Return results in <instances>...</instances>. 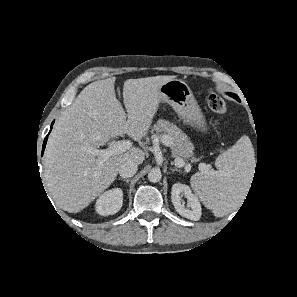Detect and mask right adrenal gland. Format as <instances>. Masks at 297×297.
<instances>
[{"mask_svg":"<svg viewBox=\"0 0 297 297\" xmlns=\"http://www.w3.org/2000/svg\"><path fill=\"white\" fill-rule=\"evenodd\" d=\"M118 180H123V181H125L126 183H129V182H130V179H125V178H119Z\"/></svg>","mask_w":297,"mask_h":297,"instance_id":"1","label":"right adrenal gland"}]
</instances>
